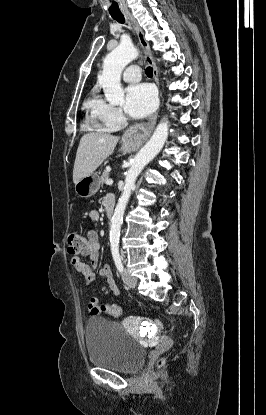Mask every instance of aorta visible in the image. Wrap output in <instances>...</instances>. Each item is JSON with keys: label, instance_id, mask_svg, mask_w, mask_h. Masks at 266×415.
Instances as JSON below:
<instances>
[{"label": "aorta", "instance_id": "obj_1", "mask_svg": "<svg viewBox=\"0 0 266 415\" xmlns=\"http://www.w3.org/2000/svg\"><path fill=\"white\" fill-rule=\"evenodd\" d=\"M139 51L132 45L122 43L112 50L104 59L103 71L99 76L106 100L111 105H119L124 101V90L121 87L123 69L137 58ZM168 137V122L164 118L156 127L148 143L136 154L131 167L126 173L125 186L116 205L111 220L110 246L112 251L119 248L120 230L123 215L135 187V182L143 168L160 152Z\"/></svg>", "mask_w": 266, "mask_h": 415}]
</instances>
